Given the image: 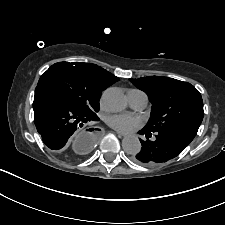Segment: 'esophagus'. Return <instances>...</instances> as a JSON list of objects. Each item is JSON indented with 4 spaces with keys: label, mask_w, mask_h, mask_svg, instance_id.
<instances>
[{
    "label": "esophagus",
    "mask_w": 225,
    "mask_h": 225,
    "mask_svg": "<svg viewBox=\"0 0 225 225\" xmlns=\"http://www.w3.org/2000/svg\"><path fill=\"white\" fill-rule=\"evenodd\" d=\"M116 133H117L120 137H124V136H126V134H125V133L120 132V131H116Z\"/></svg>",
    "instance_id": "obj_1"
}]
</instances>
